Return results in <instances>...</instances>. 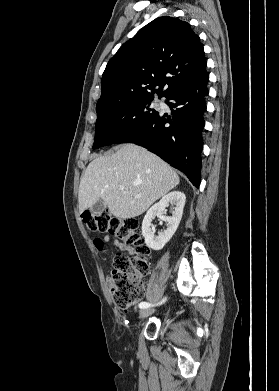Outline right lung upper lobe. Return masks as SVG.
<instances>
[{
    "instance_id": "right-lung-upper-lobe-1",
    "label": "right lung upper lobe",
    "mask_w": 279,
    "mask_h": 391,
    "mask_svg": "<svg viewBox=\"0 0 279 391\" xmlns=\"http://www.w3.org/2000/svg\"><path fill=\"white\" fill-rule=\"evenodd\" d=\"M205 69L204 49L190 24L169 16L157 18L123 44L108 62L96 112L153 99L154 93L167 98Z\"/></svg>"
}]
</instances>
